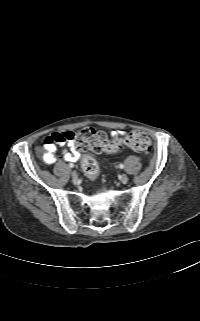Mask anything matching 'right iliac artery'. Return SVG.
Wrapping results in <instances>:
<instances>
[{"label": "right iliac artery", "mask_w": 200, "mask_h": 321, "mask_svg": "<svg viewBox=\"0 0 200 321\" xmlns=\"http://www.w3.org/2000/svg\"><path fill=\"white\" fill-rule=\"evenodd\" d=\"M69 167H70V168H73V167H74V164L69 163Z\"/></svg>", "instance_id": "right-iliac-artery-1"}]
</instances>
